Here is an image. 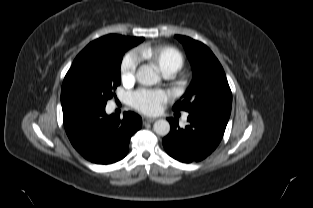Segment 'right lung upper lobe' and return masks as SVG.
I'll use <instances>...</instances> for the list:
<instances>
[{
  "mask_svg": "<svg viewBox=\"0 0 313 208\" xmlns=\"http://www.w3.org/2000/svg\"><path fill=\"white\" fill-rule=\"evenodd\" d=\"M123 41L126 42L130 45L136 46L137 44H139L140 42H142L144 40L143 37H125V36H121V35H115V34H110V35H106L103 36L97 40L92 41L91 43H89L75 58L74 61H78L82 58L88 57V56H92V55H96L99 51L100 48L103 44H105L106 42L109 41Z\"/></svg>",
  "mask_w": 313,
  "mask_h": 208,
  "instance_id": "cb5924a9",
  "label": "right lung upper lobe"
}]
</instances>
